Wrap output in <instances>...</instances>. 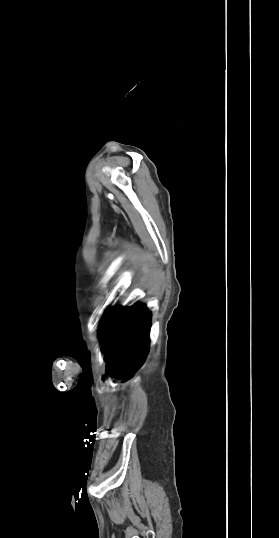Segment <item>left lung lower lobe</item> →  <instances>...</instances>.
<instances>
[{"label": "left lung lower lobe", "instance_id": "0a47b994", "mask_svg": "<svg viewBox=\"0 0 279 538\" xmlns=\"http://www.w3.org/2000/svg\"><path fill=\"white\" fill-rule=\"evenodd\" d=\"M102 329V351L107 371L116 378L129 377L144 363L149 351L151 314L144 306L114 310Z\"/></svg>", "mask_w": 279, "mask_h": 538}]
</instances>
